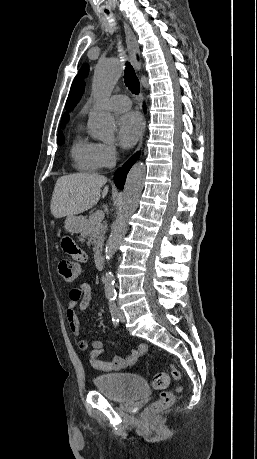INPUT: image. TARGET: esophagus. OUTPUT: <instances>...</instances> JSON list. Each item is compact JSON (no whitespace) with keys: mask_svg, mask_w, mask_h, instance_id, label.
I'll list each match as a JSON object with an SVG mask.
<instances>
[{"mask_svg":"<svg viewBox=\"0 0 257 459\" xmlns=\"http://www.w3.org/2000/svg\"><path fill=\"white\" fill-rule=\"evenodd\" d=\"M123 26H124L126 46H127V52H128L129 59L132 65L134 66L135 70L140 72L141 71V60L139 57V47H138L136 36L133 33L131 27L126 22H123ZM145 129H146V122H144L143 124V132H142L141 139H140L136 152L139 151L142 146Z\"/></svg>","mask_w":257,"mask_h":459,"instance_id":"1","label":"esophagus"}]
</instances>
